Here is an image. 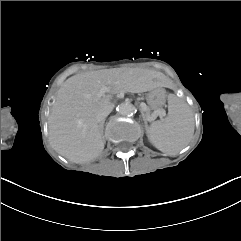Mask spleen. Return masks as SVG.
<instances>
[{
	"label": "spleen",
	"instance_id": "3e777b00",
	"mask_svg": "<svg viewBox=\"0 0 241 241\" xmlns=\"http://www.w3.org/2000/svg\"><path fill=\"white\" fill-rule=\"evenodd\" d=\"M193 133V114L186 105L175 113L169 108L166 119L153 122L147 129L150 143L169 156L177 154L187 146Z\"/></svg>",
	"mask_w": 241,
	"mask_h": 241
}]
</instances>
